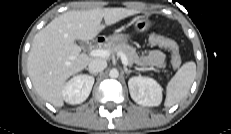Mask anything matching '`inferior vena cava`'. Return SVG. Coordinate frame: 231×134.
I'll return each instance as SVG.
<instances>
[{"label":"inferior vena cava","mask_w":231,"mask_h":134,"mask_svg":"<svg viewBox=\"0 0 231 134\" xmlns=\"http://www.w3.org/2000/svg\"><path fill=\"white\" fill-rule=\"evenodd\" d=\"M107 67L106 60L95 58L91 60L88 66V70L91 73L98 74L99 72L103 71Z\"/></svg>","instance_id":"inferior-vena-cava-1"}]
</instances>
